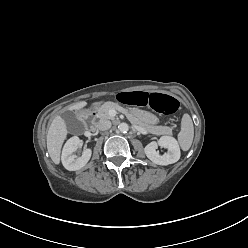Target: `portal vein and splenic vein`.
I'll use <instances>...</instances> for the list:
<instances>
[{"label": "portal vein and splenic vein", "instance_id": "portal-vein-and-splenic-vein-1", "mask_svg": "<svg viewBox=\"0 0 248 248\" xmlns=\"http://www.w3.org/2000/svg\"><path fill=\"white\" fill-rule=\"evenodd\" d=\"M116 113H117V112H116L114 109L110 110V116H112V117H113V116H115V115H116Z\"/></svg>", "mask_w": 248, "mask_h": 248}]
</instances>
